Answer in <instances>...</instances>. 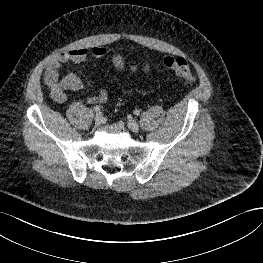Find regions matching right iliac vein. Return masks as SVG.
Instances as JSON below:
<instances>
[{
	"label": "right iliac vein",
	"instance_id": "right-iliac-vein-1",
	"mask_svg": "<svg viewBox=\"0 0 263 263\" xmlns=\"http://www.w3.org/2000/svg\"><path fill=\"white\" fill-rule=\"evenodd\" d=\"M94 120H95V124L96 125H100L103 121V116L100 112L96 113L95 117H94Z\"/></svg>",
	"mask_w": 263,
	"mask_h": 263
}]
</instances>
